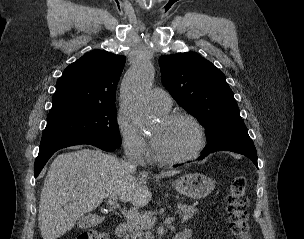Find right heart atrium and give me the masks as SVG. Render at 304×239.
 Masks as SVG:
<instances>
[{
    "mask_svg": "<svg viewBox=\"0 0 304 239\" xmlns=\"http://www.w3.org/2000/svg\"><path fill=\"white\" fill-rule=\"evenodd\" d=\"M119 132L127 154L133 157H143L149 148L145 137L136 129L129 116L120 111L117 117Z\"/></svg>",
    "mask_w": 304,
    "mask_h": 239,
    "instance_id": "right-heart-atrium-1",
    "label": "right heart atrium"
}]
</instances>
